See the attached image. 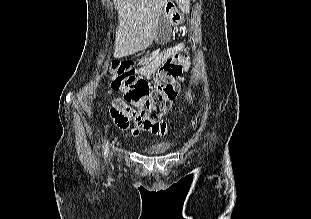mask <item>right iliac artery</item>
<instances>
[{"label":"right iliac artery","mask_w":311,"mask_h":219,"mask_svg":"<svg viewBox=\"0 0 311 219\" xmlns=\"http://www.w3.org/2000/svg\"><path fill=\"white\" fill-rule=\"evenodd\" d=\"M107 151H108V143L105 146V152H104L105 155L107 154Z\"/></svg>","instance_id":"obj_1"}]
</instances>
